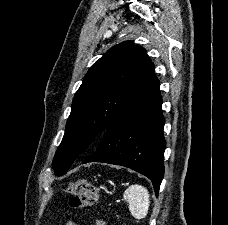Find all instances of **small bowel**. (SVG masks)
Wrapping results in <instances>:
<instances>
[{"instance_id":"1","label":"small bowel","mask_w":228,"mask_h":225,"mask_svg":"<svg viewBox=\"0 0 228 225\" xmlns=\"http://www.w3.org/2000/svg\"><path fill=\"white\" fill-rule=\"evenodd\" d=\"M67 225H73V224H71V222H69V223H67Z\"/></svg>"}]
</instances>
